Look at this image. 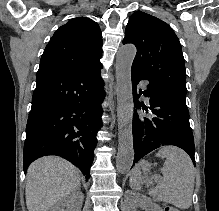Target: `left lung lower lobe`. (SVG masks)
<instances>
[{
  "label": "left lung lower lobe",
  "mask_w": 219,
  "mask_h": 211,
  "mask_svg": "<svg viewBox=\"0 0 219 211\" xmlns=\"http://www.w3.org/2000/svg\"><path fill=\"white\" fill-rule=\"evenodd\" d=\"M131 74L134 107L149 114L147 118L134 112V163L161 146L174 145L185 150L195 164L194 138L186 102L152 84L142 73L132 70ZM142 80L149 81L146 91L138 90ZM142 94L149 98L148 102L138 100Z\"/></svg>",
  "instance_id": "1"
}]
</instances>
